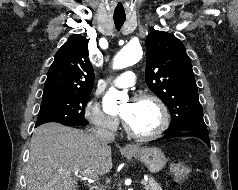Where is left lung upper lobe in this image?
<instances>
[{
	"label": "left lung upper lobe",
	"instance_id": "1",
	"mask_svg": "<svg viewBox=\"0 0 238 190\" xmlns=\"http://www.w3.org/2000/svg\"><path fill=\"white\" fill-rule=\"evenodd\" d=\"M146 58V83L169 108V128L205 124L183 43L172 34L154 30L146 38Z\"/></svg>",
	"mask_w": 238,
	"mask_h": 190
}]
</instances>
